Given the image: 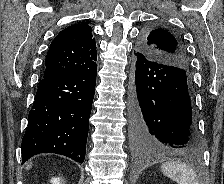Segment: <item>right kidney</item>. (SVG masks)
Instances as JSON below:
<instances>
[{"label": "right kidney", "mask_w": 224, "mask_h": 184, "mask_svg": "<svg viewBox=\"0 0 224 184\" xmlns=\"http://www.w3.org/2000/svg\"><path fill=\"white\" fill-rule=\"evenodd\" d=\"M51 184H62L61 179L59 177H54L50 180Z\"/></svg>", "instance_id": "obj_1"}]
</instances>
